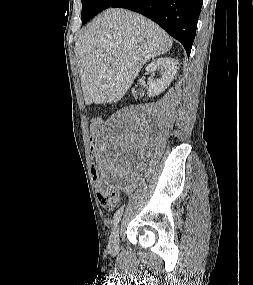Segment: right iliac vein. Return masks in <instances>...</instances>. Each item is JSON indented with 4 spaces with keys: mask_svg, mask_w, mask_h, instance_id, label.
<instances>
[{
    "mask_svg": "<svg viewBox=\"0 0 253 285\" xmlns=\"http://www.w3.org/2000/svg\"><path fill=\"white\" fill-rule=\"evenodd\" d=\"M119 232H120V225H117L111 233L109 239V250L112 253H117L119 249Z\"/></svg>",
    "mask_w": 253,
    "mask_h": 285,
    "instance_id": "right-iliac-vein-1",
    "label": "right iliac vein"
}]
</instances>
